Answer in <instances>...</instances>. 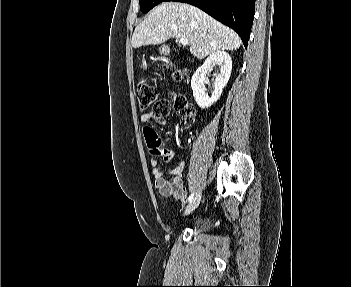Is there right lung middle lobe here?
Returning a JSON list of instances; mask_svg holds the SVG:
<instances>
[{
    "instance_id": "dd1d6c3e",
    "label": "right lung middle lobe",
    "mask_w": 351,
    "mask_h": 287,
    "mask_svg": "<svg viewBox=\"0 0 351 287\" xmlns=\"http://www.w3.org/2000/svg\"><path fill=\"white\" fill-rule=\"evenodd\" d=\"M165 0H139L140 9L143 13H147L156 5L162 3Z\"/></svg>"
}]
</instances>
